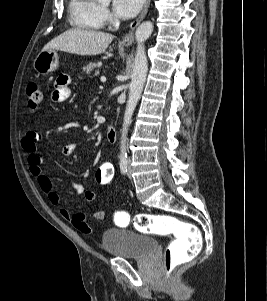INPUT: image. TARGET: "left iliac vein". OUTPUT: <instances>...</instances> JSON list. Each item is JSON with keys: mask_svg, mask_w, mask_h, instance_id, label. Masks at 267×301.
<instances>
[{"mask_svg": "<svg viewBox=\"0 0 267 301\" xmlns=\"http://www.w3.org/2000/svg\"><path fill=\"white\" fill-rule=\"evenodd\" d=\"M128 177L130 178L131 176V170H130V165L128 164V173H127Z\"/></svg>", "mask_w": 267, "mask_h": 301, "instance_id": "4c4485c4", "label": "left iliac vein"}]
</instances>
